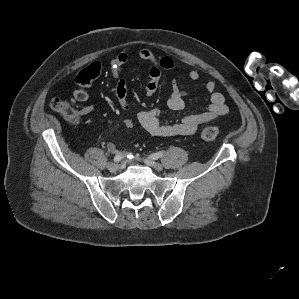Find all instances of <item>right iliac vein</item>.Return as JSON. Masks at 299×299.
Listing matches in <instances>:
<instances>
[{"label":"right iliac vein","mask_w":299,"mask_h":299,"mask_svg":"<svg viewBox=\"0 0 299 299\" xmlns=\"http://www.w3.org/2000/svg\"><path fill=\"white\" fill-rule=\"evenodd\" d=\"M107 167L111 172H115L119 169V164L115 162H110L108 163Z\"/></svg>","instance_id":"obj_1"}]
</instances>
